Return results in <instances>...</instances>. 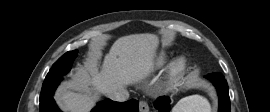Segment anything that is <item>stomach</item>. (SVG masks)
<instances>
[{
  "label": "stomach",
  "instance_id": "obj_1",
  "mask_svg": "<svg viewBox=\"0 0 270 112\" xmlns=\"http://www.w3.org/2000/svg\"><path fill=\"white\" fill-rule=\"evenodd\" d=\"M179 87H180V84L179 83H176V84H174L173 89L175 91H178L179 90Z\"/></svg>",
  "mask_w": 270,
  "mask_h": 112
}]
</instances>
